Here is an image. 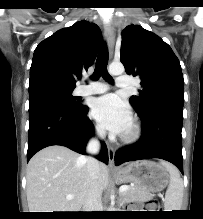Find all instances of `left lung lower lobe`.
<instances>
[{
	"label": "left lung lower lobe",
	"mask_w": 203,
	"mask_h": 219,
	"mask_svg": "<svg viewBox=\"0 0 203 219\" xmlns=\"http://www.w3.org/2000/svg\"><path fill=\"white\" fill-rule=\"evenodd\" d=\"M142 119V137L117 151L115 164L141 159L160 158L174 164L183 173V108H158Z\"/></svg>",
	"instance_id": "obj_1"
}]
</instances>
